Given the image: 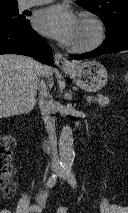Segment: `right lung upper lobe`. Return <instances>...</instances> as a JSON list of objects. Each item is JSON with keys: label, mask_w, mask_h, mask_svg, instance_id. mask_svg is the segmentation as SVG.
Returning <instances> with one entry per match:
<instances>
[{"label": "right lung upper lobe", "mask_w": 128, "mask_h": 213, "mask_svg": "<svg viewBox=\"0 0 128 213\" xmlns=\"http://www.w3.org/2000/svg\"><path fill=\"white\" fill-rule=\"evenodd\" d=\"M18 5L17 0H0V7Z\"/></svg>", "instance_id": "right-lung-upper-lobe-1"}]
</instances>
